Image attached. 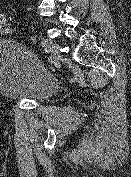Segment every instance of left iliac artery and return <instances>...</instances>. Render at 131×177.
I'll return each mask as SVG.
<instances>
[{
	"instance_id": "1",
	"label": "left iliac artery",
	"mask_w": 131,
	"mask_h": 177,
	"mask_svg": "<svg viewBox=\"0 0 131 177\" xmlns=\"http://www.w3.org/2000/svg\"><path fill=\"white\" fill-rule=\"evenodd\" d=\"M50 44H51V41L49 39H43L40 43V45L45 49L47 57L51 56V53L49 52V45ZM48 62H51V59H48Z\"/></svg>"
}]
</instances>
